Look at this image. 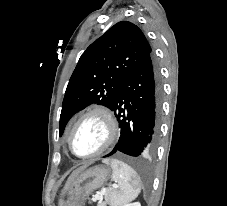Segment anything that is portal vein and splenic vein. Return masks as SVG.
Returning a JSON list of instances; mask_svg holds the SVG:
<instances>
[{"mask_svg": "<svg viewBox=\"0 0 227 206\" xmlns=\"http://www.w3.org/2000/svg\"><path fill=\"white\" fill-rule=\"evenodd\" d=\"M113 186H115V185H113ZM103 192H104V191H103ZM102 195H103V193H101L100 195H96L95 198H96V199H100V197H102Z\"/></svg>", "mask_w": 227, "mask_h": 206, "instance_id": "1", "label": "portal vein and splenic vein"}]
</instances>
